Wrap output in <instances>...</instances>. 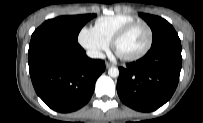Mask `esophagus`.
Segmentation results:
<instances>
[{"label":"esophagus","mask_w":203,"mask_h":123,"mask_svg":"<svg viewBox=\"0 0 203 123\" xmlns=\"http://www.w3.org/2000/svg\"><path fill=\"white\" fill-rule=\"evenodd\" d=\"M111 66H112V64H111V63L106 62V68H110Z\"/></svg>","instance_id":"obj_1"}]
</instances>
